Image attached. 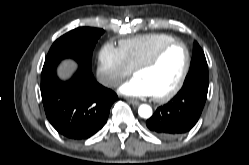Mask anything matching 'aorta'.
I'll return each instance as SVG.
<instances>
[{
  "mask_svg": "<svg viewBox=\"0 0 249 165\" xmlns=\"http://www.w3.org/2000/svg\"><path fill=\"white\" fill-rule=\"evenodd\" d=\"M138 114L142 118H150L152 116V108L147 104H142L138 108Z\"/></svg>",
  "mask_w": 249,
  "mask_h": 165,
  "instance_id": "762f6f07",
  "label": "aorta"
}]
</instances>
